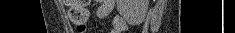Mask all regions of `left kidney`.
Listing matches in <instances>:
<instances>
[{"instance_id": "5707ae66", "label": "left kidney", "mask_w": 235, "mask_h": 33, "mask_svg": "<svg viewBox=\"0 0 235 33\" xmlns=\"http://www.w3.org/2000/svg\"><path fill=\"white\" fill-rule=\"evenodd\" d=\"M149 0H117V10L129 24L141 23L147 13Z\"/></svg>"}]
</instances>
